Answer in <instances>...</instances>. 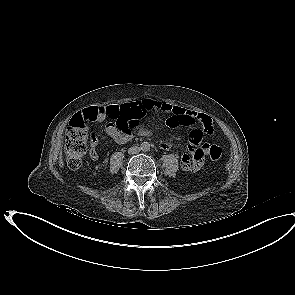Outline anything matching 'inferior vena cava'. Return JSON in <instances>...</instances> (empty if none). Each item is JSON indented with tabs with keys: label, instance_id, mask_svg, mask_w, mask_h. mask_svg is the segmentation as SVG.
<instances>
[{
	"label": "inferior vena cava",
	"instance_id": "obj_1",
	"mask_svg": "<svg viewBox=\"0 0 295 295\" xmlns=\"http://www.w3.org/2000/svg\"><path fill=\"white\" fill-rule=\"evenodd\" d=\"M140 151H141L140 147L133 146L129 148L128 153L134 155V154H138Z\"/></svg>",
	"mask_w": 295,
	"mask_h": 295
}]
</instances>
